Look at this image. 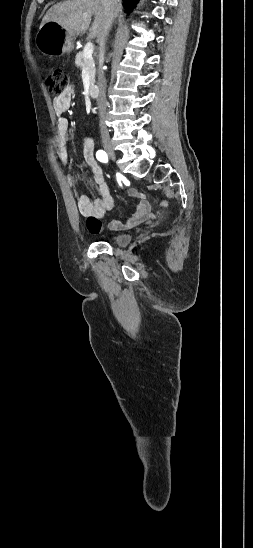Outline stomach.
<instances>
[{
  "instance_id": "obj_1",
  "label": "stomach",
  "mask_w": 253,
  "mask_h": 548,
  "mask_svg": "<svg viewBox=\"0 0 253 548\" xmlns=\"http://www.w3.org/2000/svg\"><path fill=\"white\" fill-rule=\"evenodd\" d=\"M39 51L49 56H60L73 50V38L56 22H47L36 35Z\"/></svg>"
}]
</instances>
